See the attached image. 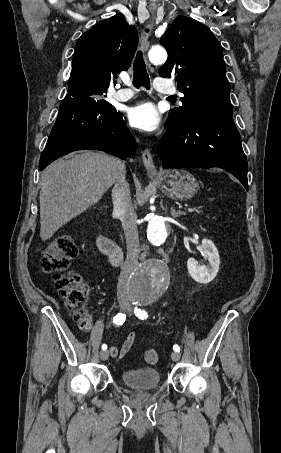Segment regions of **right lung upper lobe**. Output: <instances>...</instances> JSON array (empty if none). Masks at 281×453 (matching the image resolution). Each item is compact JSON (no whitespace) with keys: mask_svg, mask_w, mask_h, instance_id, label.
Returning <instances> with one entry per match:
<instances>
[{"mask_svg":"<svg viewBox=\"0 0 281 453\" xmlns=\"http://www.w3.org/2000/svg\"><path fill=\"white\" fill-rule=\"evenodd\" d=\"M137 43L136 29L120 15L86 31L76 43L65 99L106 96L117 84L116 74L131 66Z\"/></svg>","mask_w":281,"mask_h":453,"instance_id":"right-lung-upper-lobe-1","label":"right lung upper lobe"}]
</instances>
